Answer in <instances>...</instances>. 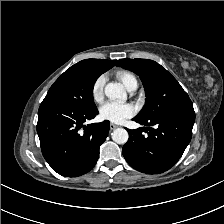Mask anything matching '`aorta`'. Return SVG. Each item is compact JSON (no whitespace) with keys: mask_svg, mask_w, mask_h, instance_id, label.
<instances>
[{"mask_svg":"<svg viewBox=\"0 0 224 224\" xmlns=\"http://www.w3.org/2000/svg\"><path fill=\"white\" fill-rule=\"evenodd\" d=\"M105 95L112 100L125 101L127 94L120 83H108L104 89ZM129 134L124 128H117L112 132V140L117 144H125L128 141Z\"/></svg>","mask_w":224,"mask_h":224,"instance_id":"aorta-1","label":"aorta"}]
</instances>
